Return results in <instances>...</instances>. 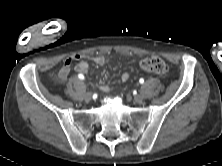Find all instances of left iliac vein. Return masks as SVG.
<instances>
[{
    "mask_svg": "<svg viewBox=\"0 0 222 166\" xmlns=\"http://www.w3.org/2000/svg\"><path fill=\"white\" fill-rule=\"evenodd\" d=\"M134 101L137 102V103L142 102L143 101V96L139 95V94L135 95L134 96Z\"/></svg>",
    "mask_w": 222,
    "mask_h": 166,
    "instance_id": "4c4485c4",
    "label": "left iliac vein"
}]
</instances>
